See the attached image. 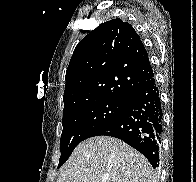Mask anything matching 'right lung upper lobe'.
Listing matches in <instances>:
<instances>
[{
	"label": "right lung upper lobe",
	"instance_id": "cb5924a9",
	"mask_svg": "<svg viewBox=\"0 0 196 182\" xmlns=\"http://www.w3.org/2000/svg\"><path fill=\"white\" fill-rule=\"evenodd\" d=\"M153 75L147 51L131 24L121 19L102 23L73 52L64 111L102 97L130 101Z\"/></svg>",
	"mask_w": 196,
	"mask_h": 182
}]
</instances>
